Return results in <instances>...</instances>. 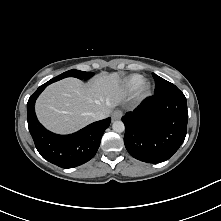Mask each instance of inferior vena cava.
Returning <instances> with one entry per match:
<instances>
[{
	"mask_svg": "<svg viewBox=\"0 0 221 221\" xmlns=\"http://www.w3.org/2000/svg\"><path fill=\"white\" fill-rule=\"evenodd\" d=\"M107 116H108V112L107 111H96V112H93L91 114L92 119L95 120V121L104 119Z\"/></svg>",
	"mask_w": 221,
	"mask_h": 221,
	"instance_id": "inferior-vena-cava-1",
	"label": "inferior vena cava"
}]
</instances>
